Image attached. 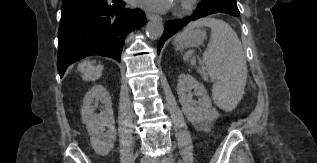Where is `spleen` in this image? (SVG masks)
Masks as SVG:
<instances>
[{"mask_svg":"<svg viewBox=\"0 0 317 163\" xmlns=\"http://www.w3.org/2000/svg\"><path fill=\"white\" fill-rule=\"evenodd\" d=\"M211 28V39L203 54V62L211 79L213 99L227 112L235 109L246 85L247 64L241 41L224 21L205 17L190 23L184 32L195 27Z\"/></svg>","mask_w":317,"mask_h":163,"instance_id":"obj_1","label":"spleen"}]
</instances>
